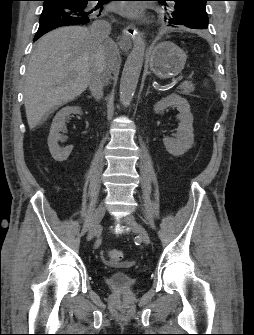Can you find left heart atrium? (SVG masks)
<instances>
[{
  "instance_id": "1",
  "label": "left heart atrium",
  "mask_w": 254,
  "mask_h": 335,
  "mask_svg": "<svg viewBox=\"0 0 254 335\" xmlns=\"http://www.w3.org/2000/svg\"><path fill=\"white\" fill-rule=\"evenodd\" d=\"M117 10L122 15L129 17V18L139 17L143 12V8L140 4L132 3V2H122L117 7Z\"/></svg>"
}]
</instances>
